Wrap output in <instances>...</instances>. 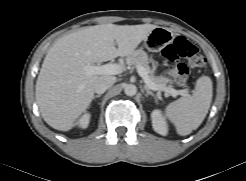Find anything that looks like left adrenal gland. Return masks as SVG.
<instances>
[{"label":"left adrenal gland","instance_id":"a2214340","mask_svg":"<svg viewBox=\"0 0 246 181\" xmlns=\"http://www.w3.org/2000/svg\"><path fill=\"white\" fill-rule=\"evenodd\" d=\"M144 91L146 92V96L151 95L152 97H154V99L156 100V96L153 92H151L149 89L144 88Z\"/></svg>","mask_w":246,"mask_h":181}]
</instances>
